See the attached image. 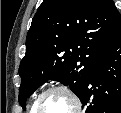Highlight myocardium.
Wrapping results in <instances>:
<instances>
[{
    "instance_id": "f54148a6",
    "label": "myocardium",
    "mask_w": 121,
    "mask_h": 113,
    "mask_svg": "<svg viewBox=\"0 0 121 113\" xmlns=\"http://www.w3.org/2000/svg\"><path fill=\"white\" fill-rule=\"evenodd\" d=\"M56 92H62L64 93L71 101L73 104V109L72 110H80L81 109V100L78 97V95L68 86L65 85H56L53 86L46 91H44L36 100L33 110L35 113H40L41 111V104L45 98H47L49 95L56 93ZM73 113V112H70Z\"/></svg>"
}]
</instances>
